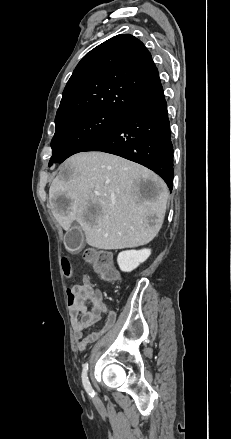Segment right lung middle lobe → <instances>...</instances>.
Listing matches in <instances>:
<instances>
[{
  "label": "right lung middle lobe",
  "instance_id": "dd1d6c3e",
  "mask_svg": "<svg viewBox=\"0 0 231 439\" xmlns=\"http://www.w3.org/2000/svg\"><path fill=\"white\" fill-rule=\"evenodd\" d=\"M123 114L102 109L86 110L55 118V134L51 142L49 166L61 163L71 155L84 151L99 139Z\"/></svg>",
  "mask_w": 231,
  "mask_h": 439
}]
</instances>
